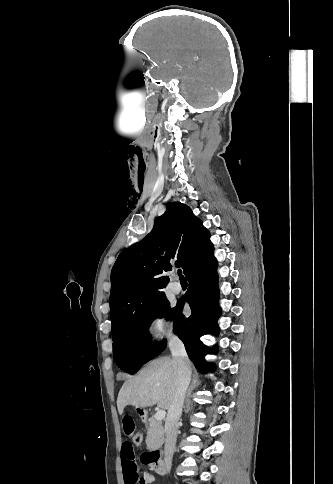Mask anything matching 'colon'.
I'll return each instance as SVG.
<instances>
[{"label":"colon","instance_id":"colon-1","mask_svg":"<svg viewBox=\"0 0 333 484\" xmlns=\"http://www.w3.org/2000/svg\"><path fill=\"white\" fill-rule=\"evenodd\" d=\"M133 442L135 445L139 446L142 444L143 442V436L141 433H136L134 436H133Z\"/></svg>","mask_w":333,"mask_h":484}]
</instances>
